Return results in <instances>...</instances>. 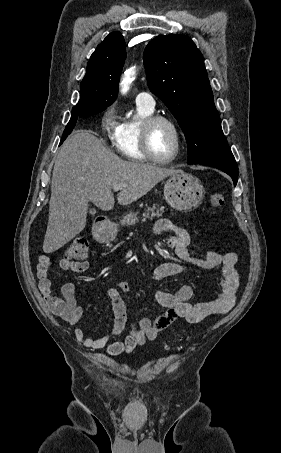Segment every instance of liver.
I'll return each mask as SVG.
<instances>
[{"label":"liver","mask_w":281,"mask_h":453,"mask_svg":"<svg viewBox=\"0 0 281 453\" xmlns=\"http://www.w3.org/2000/svg\"><path fill=\"white\" fill-rule=\"evenodd\" d=\"M91 132L73 130L57 152L44 253L58 251L85 229L89 202L101 210H112L114 184H122L117 194L119 204H131L166 176L183 172L181 168L122 160Z\"/></svg>","instance_id":"6515ba94"}]
</instances>
